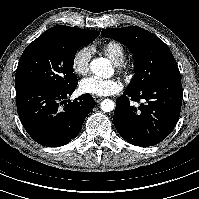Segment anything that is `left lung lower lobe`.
Returning a JSON list of instances; mask_svg holds the SVG:
<instances>
[{"instance_id": "0a47b994", "label": "left lung lower lobe", "mask_w": 199, "mask_h": 199, "mask_svg": "<svg viewBox=\"0 0 199 199\" xmlns=\"http://www.w3.org/2000/svg\"><path fill=\"white\" fill-rule=\"evenodd\" d=\"M181 78L154 82L140 91L125 90L116 100L113 122L126 141L140 147L153 146L164 140L174 129L182 105ZM130 98L139 102L138 108Z\"/></svg>"}]
</instances>
